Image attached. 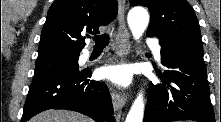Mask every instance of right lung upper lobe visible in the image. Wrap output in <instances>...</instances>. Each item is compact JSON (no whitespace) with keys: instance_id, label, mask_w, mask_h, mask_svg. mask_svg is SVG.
<instances>
[{"instance_id":"obj_1","label":"right lung upper lobe","mask_w":221,"mask_h":122,"mask_svg":"<svg viewBox=\"0 0 221 122\" xmlns=\"http://www.w3.org/2000/svg\"><path fill=\"white\" fill-rule=\"evenodd\" d=\"M117 12V0H55L42 29L37 60L80 55L86 45L81 34H98Z\"/></svg>"}]
</instances>
